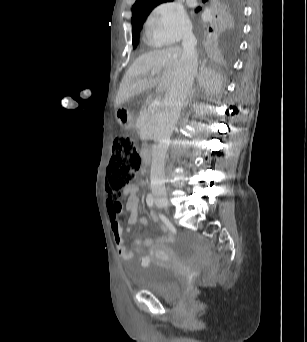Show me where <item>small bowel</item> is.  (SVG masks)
<instances>
[{"mask_svg":"<svg viewBox=\"0 0 307 342\" xmlns=\"http://www.w3.org/2000/svg\"><path fill=\"white\" fill-rule=\"evenodd\" d=\"M126 192L129 195V201L127 203V211L129 213L128 222L130 225H134L137 222H140L144 226H148V222L145 218L141 217L139 214V200H138V186L130 185L126 188ZM108 216L110 220V228L113 235V241L116 245L118 255L124 260H130L133 257V252L126 246L125 243V232L121 225L120 220L118 219V213L116 211L115 206H107ZM153 220L157 221L158 216L155 213H152ZM162 234L159 237H147L141 243L140 246L148 247L152 250V252H156L165 248L166 244L170 242L171 238L167 235L166 228L161 226ZM148 258L142 259V265H146Z\"/></svg>","mask_w":307,"mask_h":342,"instance_id":"small-bowel-1","label":"small bowel"}]
</instances>
